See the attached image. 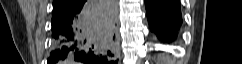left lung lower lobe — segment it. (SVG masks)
<instances>
[{"label": "left lung lower lobe", "instance_id": "0a47b994", "mask_svg": "<svg viewBox=\"0 0 242 64\" xmlns=\"http://www.w3.org/2000/svg\"><path fill=\"white\" fill-rule=\"evenodd\" d=\"M150 29L164 43L177 39L182 17L180 0H145Z\"/></svg>", "mask_w": 242, "mask_h": 64}]
</instances>
